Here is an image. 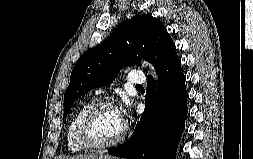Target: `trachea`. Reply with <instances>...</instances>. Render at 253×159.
<instances>
[{
    "label": "trachea",
    "mask_w": 253,
    "mask_h": 159,
    "mask_svg": "<svg viewBox=\"0 0 253 159\" xmlns=\"http://www.w3.org/2000/svg\"><path fill=\"white\" fill-rule=\"evenodd\" d=\"M136 88H143V86L139 85V86H136Z\"/></svg>",
    "instance_id": "trachea-1"
}]
</instances>
